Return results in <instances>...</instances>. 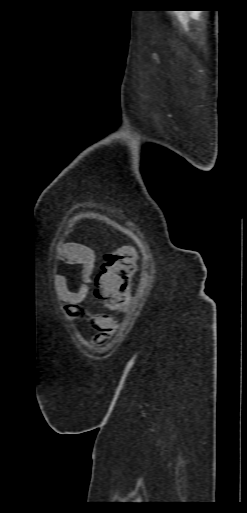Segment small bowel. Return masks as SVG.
Here are the masks:
<instances>
[{"label":"small bowel","instance_id":"1","mask_svg":"<svg viewBox=\"0 0 247 513\" xmlns=\"http://www.w3.org/2000/svg\"><path fill=\"white\" fill-rule=\"evenodd\" d=\"M59 260L69 265H82L84 277V283L79 289L72 290L66 275L61 273L53 275L56 293L64 303V313L71 318H88L98 330V334L93 341L94 345H104L114 335L117 320L108 315H92L82 306L89 293L90 275L94 265L92 253L79 244L67 243L59 249Z\"/></svg>","mask_w":247,"mask_h":513}]
</instances>
